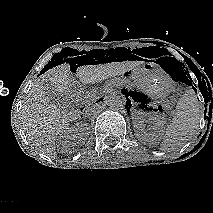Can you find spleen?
Listing matches in <instances>:
<instances>
[{
	"label": "spleen",
	"mask_w": 213,
	"mask_h": 213,
	"mask_svg": "<svg viewBox=\"0 0 213 213\" xmlns=\"http://www.w3.org/2000/svg\"><path fill=\"white\" fill-rule=\"evenodd\" d=\"M202 113L196 93L189 88L177 102L173 119L166 127L160 149L172 151L184 146L197 132Z\"/></svg>",
	"instance_id": "obj_1"
}]
</instances>
